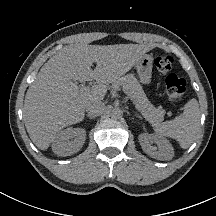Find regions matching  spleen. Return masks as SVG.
Here are the masks:
<instances>
[{
  "label": "spleen",
  "mask_w": 216,
  "mask_h": 216,
  "mask_svg": "<svg viewBox=\"0 0 216 216\" xmlns=\"http://www.w3.org/2000/svg\"><path fill=\"white\" fill-rule=\"evenodd\" d=\"M200 126V110L196 99L189 100L183 113L172 121H165L156 128V133L175 139L181 148L187 149L193 143Z\"/></svg>",
  "instance_id": "1"
}]
</instances>
